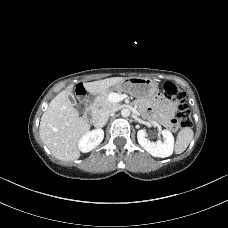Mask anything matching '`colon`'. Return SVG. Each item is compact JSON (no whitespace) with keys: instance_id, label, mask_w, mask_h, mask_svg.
<instances>
[{"instance_id":"1","label":"colon","mask_w":228,"mask_h":228,"mask_svg":"<svg viewBox=\"0 0 228 228\" xmlns=\"http://www.w3.org/2000/svg\"><path fill=\"white\" fill-rule=\"evenodd\" d=\"M161 88L163 96L166 99L177 103V118L170 120L168 123L169 128L176 130L178 128L183 129L191 127V112L186 93L170 81L164 82ZM77 94L83 96L85 94V89L82 86H79L77 88Z\"/></svg>"}]
</instances>
